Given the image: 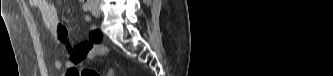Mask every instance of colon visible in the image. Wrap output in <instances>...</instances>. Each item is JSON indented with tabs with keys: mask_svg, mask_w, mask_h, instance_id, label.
Listing matches in <instances>:
<instances>
[{
	"mask_svg": "<svg viewBox=\"0 0 333 76\" xmlns=\"http://www.w3.org/2000/svg\"><path fill=\"white\" fill-rule=\"evenodd\" d=\"M100 76L101 74L97 71V70H94V69H81V76ZM108 75L109 76H113L114 75V71L113 70H110L108 72Z\"/></svg>",
	"mask_w": 333,
	"mask_h": 76,
	"instance_id": "colon-1",
	"label": "colon"
}]
</instances>
